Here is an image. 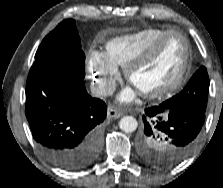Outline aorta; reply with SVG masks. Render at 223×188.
I'll use <instances>...</instances> for the list:
<instances>
[{
	"label": "aorta",
	"mask_w": 223,
	"mask_h": 188,
	"mask_svg": "<svg viewBox=\"0 0 223 188\" xmlns=\"http://www.w3.org/2000/svg\"><path fill=\"white\" fill-rule=\"evenodd\" d=\"M137 126V120L132 116H124L119 122L120 129L126 133L134 132Z\"/></svg>",
	"instance_id": "obj_1"
}]
</instances>
